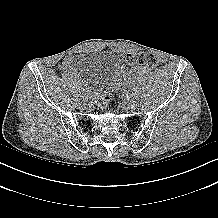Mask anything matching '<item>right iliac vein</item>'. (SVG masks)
I'll return each mask as SVG.
<instances>
[{
  "label": "right iliac vein",
  "mask_w": 218,
  "mask_h": 218,
  "mask_svg": "<svg viewBox=\"0 0 218 218\" xmlns=\"http://www.w3.org/2000/svg\"><path fill=\"white\" fill-rule=\"evenodd\" d=\"M87 97H88V94H87V93H84L83 96H82V98H81V103H83V106L86 105L85 103H86Z\"/></svg>",
  "instance_id": "right-iliac-vein-1"
}]
</instances>
